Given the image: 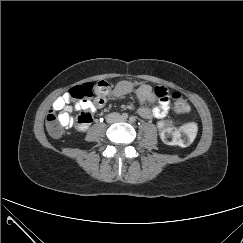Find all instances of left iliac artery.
Listing matches in <instances>:
<instances>
[{
    "label": "left iliac artery",
    "mask_w": 243,
    "mask_h": 243,
    "mask_svg": "<svg viewBox=\"0 0 243 243\" xmlns=\"http://www.w3.org/2000/svg\"><path fill=\"white\" fill-rule=\"evenodd\" d=\"M129 121H130L131 123H134V122L136 121V119H135V117L131 116V117L129 118Z\"/></svg>",
    "instance_id": "left-iliac-artery-1"
}]
</instances>
